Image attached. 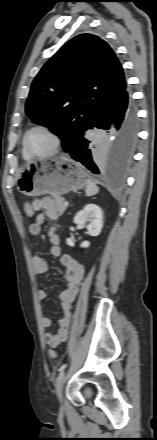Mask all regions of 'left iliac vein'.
<instances>
[{
  "label": "left iliac vein",
  "mask_w": 157,
  "mask_h": 440,
  "mask_svg": "<svg viewBox=\"0 0 157 440\" xmlns=\"http://www.w3.org/2000/svg\"><path fill=\"white\" fill-rule=\"evenodd\" d=\"M64 378H65V372L63 370L59 373V375L56 379V394H57V397L61 403H62V392H63Z\"/></svg>",
  "instance_id": "4c4485c4"
}]
</instances>
